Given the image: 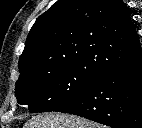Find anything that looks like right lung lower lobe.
Returning <instances> with one entry per match:
<instances>
[{"label":"right lung lower lobe","instance_id":"obj_1","mask_svg":"<svg viewBox=\"0 0 142 128\" xmlns=\"http://www.w3.org/2000/svg\"><path fill=\"white\" fill-rule=\"evenodd\" d=\"M55 111L113 128H142V56L102 74L84 92Z\"/></svg>","mask_w":142,"mask_h":128}]
</instances>
